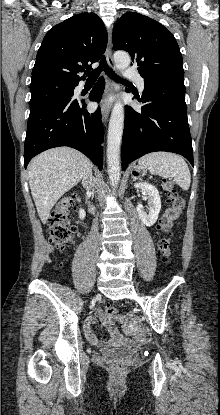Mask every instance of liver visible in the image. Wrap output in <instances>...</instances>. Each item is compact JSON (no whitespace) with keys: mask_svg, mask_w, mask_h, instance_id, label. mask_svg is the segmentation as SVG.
<instances>
[{"mask_svg":"<svg viewBox=\"0 0 220 415\" xmlns=\"http://www.w3.org/2000/svg\"><path fill=\"white\" fill-rule=\"evenodd\" d=\"M91 161L79 151L58 147L37 155L28 166V181L43 224L56 202L92 171Z\"/></svg>","mask_w":220,"mask_h":415,"instance_id":"obj_1","label":"liver"}]
</instances>
